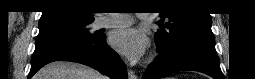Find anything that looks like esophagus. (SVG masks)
<instances>
[{
    "label": "esophagus",
    "mask_w": 255,
    "mask_h": 79,
    "mask_svg": "<svg viewBox=\"0 0 255 79\" xmlns=\"http://www.w3.org/2000/svg\"><path fill=\"white\" fill-rule=\"evenodd\" d=\"M129 79H137V76L132 70H129Z\"/></svg>",
    "instance_id": "1"
}]
</instances>
